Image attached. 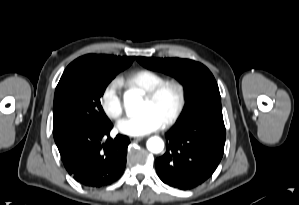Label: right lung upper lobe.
<instances>
[{"mask_svg":"<svg viewBox=\"0 0 299 205\" xmlns=\"http://www.w3.org/2000/svg\"><path fill=\"white\" fill-rule=\"evenodd\" d=\"M135 57H117L113 55L88 54L71 63L82 67L121 68L129 66Z\"/></svg>","mask_w":299,"mask_h":205,"instance_id":"obj_1","label":"right lung upper lobe"}]
</instances>
